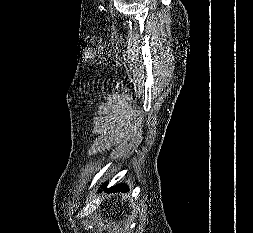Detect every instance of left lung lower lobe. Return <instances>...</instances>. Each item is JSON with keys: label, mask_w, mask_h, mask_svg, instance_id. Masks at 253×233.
<instances>
[{"label": "left lung lower lobe", "mask_w": 253, "mask_h": 233, "mask_svg": "<svg viewBox=\"0 0 253 233\" xmlns=\"http://www.w3.org/2000/svg\"><path fill=\"white\" fill-rule=\"evenodd\" d=\"M101 188H103V190L106 191V192H117V191L126 192V191L129 190V188L126 185H123V184L115 185L114 187H111L108 190H106V188L104 186H101Z\"/></svg>", "instance_id": "left-lung-lower-lobe-1"}]
</instances>
